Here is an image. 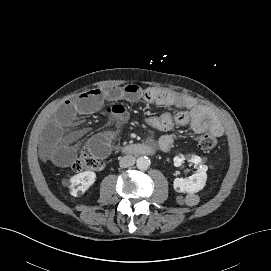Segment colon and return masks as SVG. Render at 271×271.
Instances as JSON below:
<instances>
[{
  "instance_id": "colon-1",
  "label": "colon",
  "mask_w": 271,
  "mask_h": 271,
  "mask_svg": "<svg viewBox=\"0 0 271 271\" xmlns=\"http://www.w3.org/2000/svg\"><path fill=\"white\" fill-rule=\"evenodd\" d=\"M196 140L198 146L204 151L214 149L218 143L217 138L211 133L199 135ZM102 168V160L89 150H83L72 164V169L75 172H81L85 170L97 171L101 170Z\"/></svg>"
}]
</instances>
